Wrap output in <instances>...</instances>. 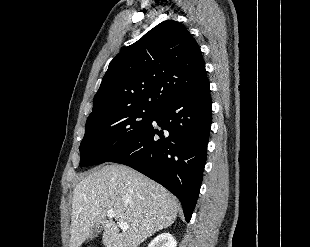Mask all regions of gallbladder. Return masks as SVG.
<instances>
[{"instance_id": "gallbladder-1", "label": "gallbladder", "mask_w": 310, "mask_h": 247, "mask_svg": "<svg viewBox=\"0 0 310 247\" xmlns=\"http://www.w3.org/2000/svg\"><path fill=\"white\" fill-rule=\"evenodd\" d=\"M100 231L101 229L98 227L93 228L88 236V240H93Z\"/></svg>"}]
</instances>
